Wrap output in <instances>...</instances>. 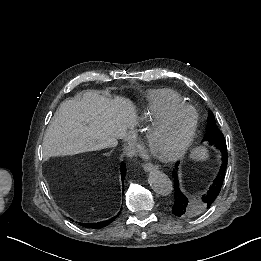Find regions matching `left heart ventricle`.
I'll use <instances>...</instances> for the list:
<instances>
[{
	"label": "left heart ventricle",
	"instance_id": "left-heart-ventricle-1",
	"mask_svg": "<svg viewBox=\"0 0 261 261\" xmlns=\"http://www.w3.org/2000/svg\"><path fill=\"white\" fill-rule=\"evenodd\" d=\"M190 123V114L176 111L153 125L146 144L151 152L164 155L177 150L183 143Z\"/></svg>",
	"mask_w": 261,
	"mask_h": 261
}]
</instances>
